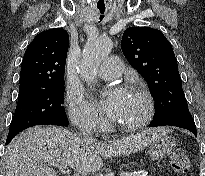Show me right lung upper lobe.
I'll use <instances>...</instances> for the list:
<instances>
[{
	"label": "right lung upper lobe",
	"instance_id": "1",
	"mask_svg": "<svg viewBox=\"0 0 205 176\" xmlns=\"http://www.w3.org/2000/svg\"><path fill=\"white\" fill-rule=\"evenodd\" d=\"M68 46L69 36L64 29L39 33L23 57L19 95L63 84Z\"/></svg>",
	"mask_w": 205,
	"mask_h": 176
}]
</instances>
